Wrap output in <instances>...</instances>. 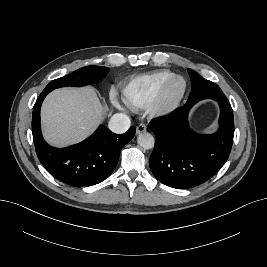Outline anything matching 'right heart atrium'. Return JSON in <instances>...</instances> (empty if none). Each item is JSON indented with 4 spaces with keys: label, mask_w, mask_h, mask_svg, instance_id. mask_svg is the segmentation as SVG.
I'll return each mask as SVG.
<instances>
[{
    "label": "right heart atrium",
    "mask_w": 267,
    "mask_h": 267,
    "mask_svg": "<svg viewBox=\"0 0 267 267\" xmlns=\"http://www.w3.org/2000/svg\"><path fill=\"white\" fill-rule=\"evenodd\" d=\"M112 102L115 106L119 107V104L117 103V101L114 97H112Z\"/></svg>",
    "instance_id": "obj_1"
}]
</instances>
